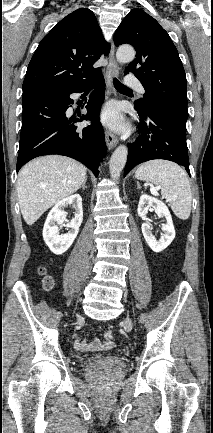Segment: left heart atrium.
Listing matches in <instances>:
<instances>
[{
  "mask_svg": "<svg viewBox=\"0 0 213 433\" xmlns=\"http://www.w3.org/2000/svg\"><path fill=\"white\" fill-rule=\"evenodd\" d=\"M102 121L108 126L121 130L124 128V123L119 115L118 108L115 105L107 106L102 112Z\"/></svg>",
  "mask_w": 213,
  "mask_h": 433,
  "instance_id": "obj_1",
  "label": "left heart atrium"
}]
</instances>
